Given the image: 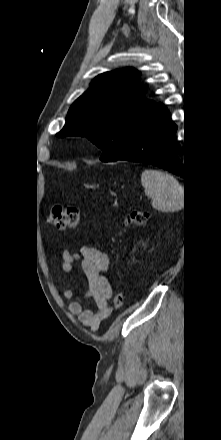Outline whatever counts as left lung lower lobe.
Masks as SVG:
<instances>
[{
	"label": "left lung lower lobe",
	"instance_id": "1",
	"mask_svg": "<svg viewBox=\"0 0 221 440\" xmlns=\"http://www.w3.org/2000/svg\"><path fill=\"white\" fill-rule=\"evenodd\" d=\"M177 126L167 108L155 104L134 127L125 153L118 160L143 162L186 178L185 163L176 152Z\"/></svg>",
	"mask_w": 221,
	"mask_h": 440
}]
</instances>
